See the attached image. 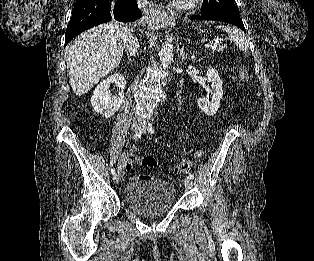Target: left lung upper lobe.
<instances>
[{"label":"left lung upper lobe","instance_id":"1","mask_svg":"<svg viewBox=\"0 0 314 261\" xmlns=\"http://www.w3.org/2000/svg\"><path fill=\"white\" fill-rule=\"evenodd\" d=\"M201 13L207 15H239L233 0H203Z\"/></svg>","mask_w":314,"mask_h":261}]
</instances>
